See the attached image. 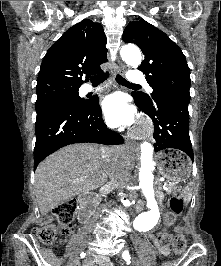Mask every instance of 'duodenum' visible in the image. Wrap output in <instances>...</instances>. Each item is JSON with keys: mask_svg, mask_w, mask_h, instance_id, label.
I'll return each mask as SVG.
<instances>
[{"mask_svg": "<svg viewBox=\"0 0 221 266\" xmlns=\"http://www.w3.org/2000/svg\"><path fill=\"white\" fill-rule=\"evenodd\" d=\"M80 209L78 218L81 223H86L93 212L92 198L89 195H81L79 197Z\"/></svg>", "mask_w": 221, "mask_h": 266, "instance_id": "410a0bca", "label": "duodenum"}]
</instances>
